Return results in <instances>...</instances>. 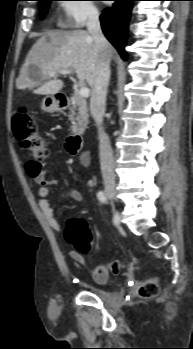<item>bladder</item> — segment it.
I'll return each instance as SVG.
<instances>
[{"label": "bladder", "mask_w": 193, "mask_h": 349, "mask_svg": "<svg viewBox=\"0 0 193 349\" xmlns=\"http://www.w3.org/2000/svg\"><path fill=\"white\" fill-rule=\"evenodd\" d=\"M92 290L100 299H105L107 297V292L103 289L94 287Z\"/></svg>", "instance_id": "bladder-1"}]
</instances>
